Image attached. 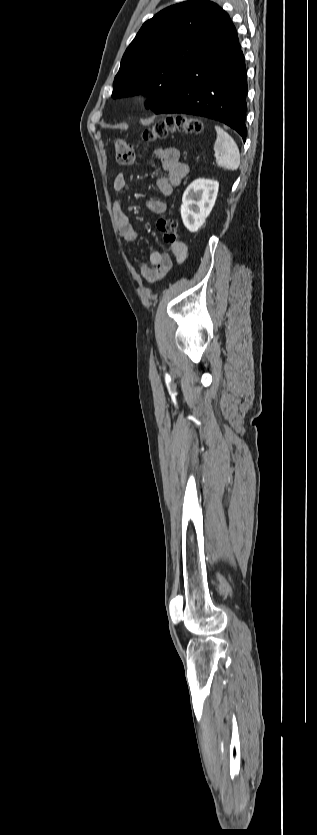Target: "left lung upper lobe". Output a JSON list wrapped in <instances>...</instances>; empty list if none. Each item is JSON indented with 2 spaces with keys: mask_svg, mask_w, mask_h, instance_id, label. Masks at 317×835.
I'll list each match as a JSON object with an SVG mask.
<instances>
[{
  "mask_svg": "<svg viewBox=\"0 0 317 835\" xmlns=\"http://www.w3.org/2000/svg\"><path fill=\"white\" fill-rule=\"evenodd\" d=\"M225 14L213 2L194 0L167 7L146 21L123 55L112 97L148 94L146 107L153 111L172 103L186 68Z\"/></svg>",
  "mask_w": 317,
  "mask_h": 835,
  "instance_id": "left-lung-upper-lobe-1",
  "label": "left lung upper lobe"
}]
</instances>
